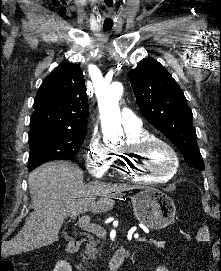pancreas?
<instances>
[{"instance_id":"obj_1","label":"pancreas","mask_w":221,"mask_h":271,"mask_svg":"<svg viewBox=\"0 0 221 271\" xmlns=\"http://www.w3.org/2000/svg\"><path fill=\"white\" fill-rule=\"evenodd\" d=\"M144 244H148V247H169V242L167 239H144ZM100 247H96L95 241H90L87 243L86 255L84 259H89V257H95L96 253H99Z\"/></svg>"}]
</instances>
